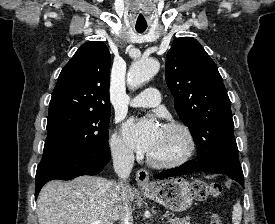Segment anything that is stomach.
<instances>
[{
  "label": "stomach",
  "mask_w": 275,
  "mask_h": 224,
  "mask_svg": "<svg viewBox=\"0 0 275 224\" xmlns=\"http://www.w3.org/2000/svg\"><path fill=\"white\" fill-rule=\"evenodd\" d=\"M145 195L173 212H183L193 203L191 184L183 178H172L150 189Z\"/></svg>",
  "instance_id": "0dacf381"
}]
</instances>
